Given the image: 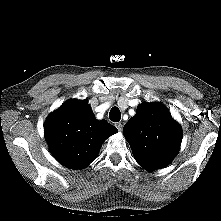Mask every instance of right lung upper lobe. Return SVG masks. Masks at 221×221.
<instances>
[{
	"label": "right lung upper lobe",
	"mask_w": 221,
	"mask_h": 221,
	"mask_svg": "<svg viewBox=\"0 0 221 221\" xmlns=\"http://www.w3.org/2000/svg\"><path fill=\"white\" fill-rule=\"evenodd\" d=\"M117 128L106 120L98 121L87 100L71 99L45 121L44 135L58 162L81 169L92 163L103 142Z\"/></svg>",
	"instance_id": "right-lung-upper-lobe-1"
}]
</instances>
